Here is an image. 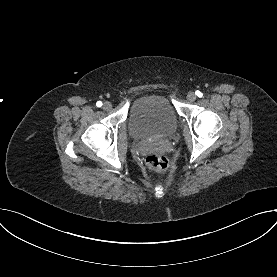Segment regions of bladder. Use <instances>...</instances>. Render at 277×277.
Wrapping results in <instances>:
<instances>
[{"instance_id": "31cf9c89", "label": "bladder", "mask_w": 277, "mask_h": 277, "mask_svg": "<svg viewBox=\"0 0 277 277\" xmlns=\"http://www.w3.org/2000/svg\"><path fill=\"white\" fill-rule=\"evenodd\" d=\"M129 128L136 138H161L173 134L178 127L177 114L162 95L136 99L129 110Z\"/></svg>"}]
</instances>
